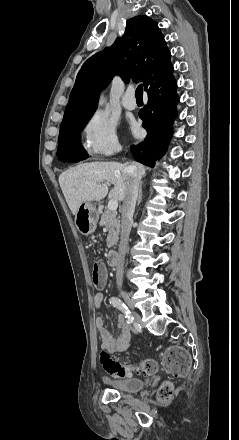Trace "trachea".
<instances>
[{
	"mask_svg": "<svg viewBox=\"0 0 239 440\" xmlns=\"http://www.w3.org/2000/svg\"><path fill=\"white\" fill-rule=\"evenodd\" d=\"M135 97H136V99H142L143 98V86L141 84L138 85V87L136 88Z\"/></svg>",
	"mask_w": 239,
	"mask_h": 440,
	"instance_id": "3493384b",
	"label": "trachea"
}]
</instances>
